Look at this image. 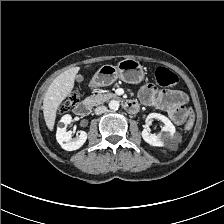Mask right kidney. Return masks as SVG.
I'll return each instance as SVG.
<instances>
[{"label":"right kidney","mask_w":224,"mask_h":224,"mask_svg":"<svg viewBox=\"0 0 224 224\" xmlns=\"http://www.w3.org/2000/svg\"><path fill=\"white\" fill-rule=\"evenodd\" d=\"M72 121L71 115H64L60 122L65 125V127L57 128L56 139L64 150L73 151L77 150L83 146L87 140V133L85 131H80L79 136L76 139H72V132L67 131L66 127Z\"/></svg>","instance_id":"ca27d5eb"}]
</instances>
